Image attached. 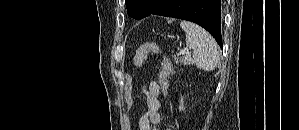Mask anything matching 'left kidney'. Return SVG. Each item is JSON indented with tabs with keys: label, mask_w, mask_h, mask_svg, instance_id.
I'll return each instance as SVG.
<instances>
[{
	"label": "left kidney",
	"mask_w": 299,
	"mask_h": 130,
	"mask_svg": "<svg viewBox=\"0 0 299 130\" xmlns=\"http://www.w3.org/2000/svg\"><path fill=\"white\" fill-rule=\"evenodd\" d=\"M184 108H183V98H181V100H180V106H179V110L181 111V110H183Z\"/></svg>",
	"instance_id": "left-kidney-1"
}]
</instances>
